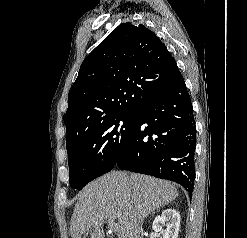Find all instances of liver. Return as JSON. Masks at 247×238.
I'll return each instance as SVG.
<instances>
[{
  "mask_svg": "<svg viewBox=\"0 0 247 238\" xmlns=\"http://www.w3.org/2000/svg\"><path fill=\"white\" fill-rule=\"evenodd\" d=\"M177 197L178 191L169 181L124 171L109 172L78 194L70 223L71 237L81 238L93 229L90 238H104V222L117 220L118 238H141L144 219Z\"/></svg>",
  "mask_w": 247,
  "mask_h": 238,
  "instance_id": "6515ba94",
  "label": "liver"
}]
</instances>
